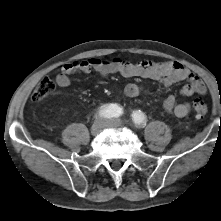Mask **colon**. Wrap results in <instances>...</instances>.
<instances>
[{
    "instance_id": "obj_1",
    "label": "colon",
    "mask_w": 221,
    "mask_h": 221,
    "mask_svg": "<svg viewBox=\"0 0 221 221\" xmlns=\"http://www.w3.org/2000/svg\"><path fill=\"white\" fill-rule=\"evenodd\" d=\"M54 89V81L49 77H45L38 83L33 91L32 100L34 102H40L48 97L54 91ZM193 110L199 118L205 117L208 112L206 104L201 99L194 100Z\"/></svg>"
}]
</instances>
